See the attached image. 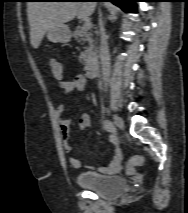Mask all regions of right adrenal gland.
<instances>
[{"mask_svg":"<svg viewBox=\"0 0 188 213\" xmlns=\"http://www.w3.org/2000/svg\"><path fill=\"white\" fill-rule=\"evenodd\" d=\"M99 19H102V14H101V12L99 13Z\"/></svg>","mask_w":188,"mask_h":213,"instance_id":"obj_1","label":"right adrenal gland"}]
</instances>
